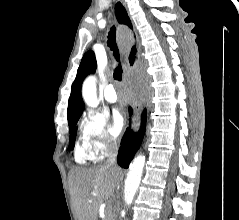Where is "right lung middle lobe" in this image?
Returning a JSON list of instances; mask_svg holds the SVG:
<instances>
[{"label":"right lung middle lobe","instance_id":"1","mask_svg":"<svg viewBox=\"0 0 239 220\" xmlns=\"http://www.w3.org/2000/svg\"><path fill=\"white\" fill-rule=\"evenodd\" d=\"M79 118L69 122V132H70V138H69V148L73 149L75 145V138L77 133V128L75 127L77 124V121Z\"/></svg>","mask_w":239,"mask_h":220}]
</instances>
